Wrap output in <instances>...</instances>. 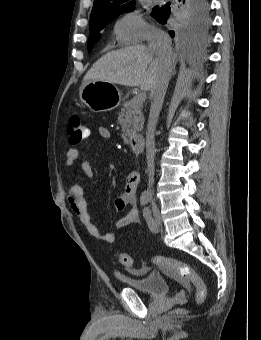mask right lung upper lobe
Wrapping results in <instances>:
<instances>
[{
  "mask_svg": "<svg viewBox=\"0 0 261 340\" xmlns=\"http://www.w3.org/2000/svg\"><path fill=\"white\" fill-rule=\"evenodd\" d=\"M132 4V0H94L90 23L115 16Z\"/></svg>",
  "mask_w": 261,
  "mask_h": 340,
  "instance_id": "cb5924a9",
  "label": "right lung upper lobe"
}]
</instances>
